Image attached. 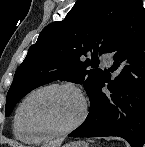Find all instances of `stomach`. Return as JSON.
Returning <instances> with one entry per match:
<instances>
[{
    "instance_id": "1",
    "label": "stomach",
    "mask_w": 145,
    "mask_h": 147,
    "mask_svg": "<svg viewBox=\"0 0 145 147\" xmlns=\"http://www.w3.org/2000/svg\"><path fill=\"white\" fill-rule=\"evenodd\" d=\"M63 147H88V144L83 141L71 142L69 144L64 145Z\"/></svg>"
}]
</instances>
